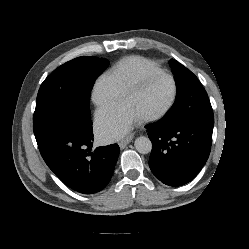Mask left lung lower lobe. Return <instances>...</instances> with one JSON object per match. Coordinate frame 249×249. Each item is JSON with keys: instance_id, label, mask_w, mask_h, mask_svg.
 <instances>
[{"instance_id": "left-lung-lower-lobe-1", "label": "left lung lower lobe", "mask_w": 249, "mask_h": 249, "mask_svg": "<svg viewBox=\"0 0 249 249\" xmlns=\"http://www.w3.org/2000/svg\"><path fill=\"white\" fill-rule=\"evenodd\" d=\"M213 126L214 117L184 124L160 120L147 125L153 144L149 166L156 178L169 186L190 182L209 157Z\"/></svg>"}]
</instances>
